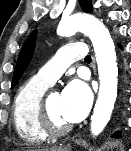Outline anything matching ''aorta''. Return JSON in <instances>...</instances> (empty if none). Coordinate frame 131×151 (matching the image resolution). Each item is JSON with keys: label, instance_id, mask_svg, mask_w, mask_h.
<instances>
[{"label": "aorta", "instance_id": "obj_1", "mask_svg": "<svg viewBox=\"0 0 131 151\" xmlns=\"http://www.w3.org/2000/svg\"><path fill=\"white\" fill-rule=\"evenodd\" d=\"M83 32L92 41L99 73L98 98L91 117L90 130L99 135L110 121L117 97L118 67L113 40L104 24L88 14H74L63 19L58 34L71 36Z\"/></svg>", "mask_w": 131, "mask_h": 151}]
</instances>
